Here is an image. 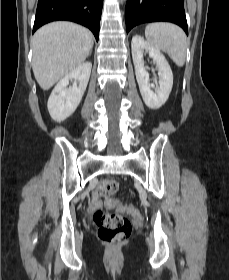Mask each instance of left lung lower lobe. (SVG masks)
I'll use <instances>...</instances> for the list:
<instances>
[{
  "label": "left lung lower lobe",
  "mask_w": 229,
  "mask_h": 280,
  "mask_svg": "<svg viewBox=\"0 0 229 280\" xmlns=\"http://www.w3.org/2000/svg\"><path fill=\"white\" fill-rule=\"evenodd\" d=\"M125 21L127 33L142 23L167 21L179 25L188 35L183 0H128Z\"/></svg>",
  "instance_id": "0a47b994"
}]
</instances>
